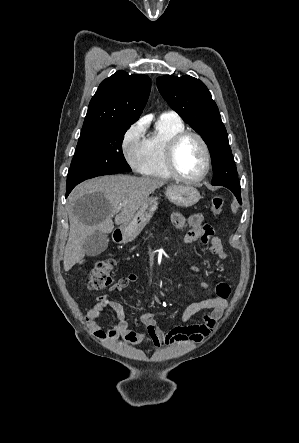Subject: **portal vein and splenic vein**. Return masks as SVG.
Returning <instances> with one entry per match:
<instances>
[{
    "instance_id": "portal-vein-and-splenic-vein-1",
    "label": "portal vein and splenic vein",
    "mask_w": 299,
    "mask_h": 443,
    "mask_svg": "<svg viewBox=\"0 0 299 443\" xmlns=\"http://www.w3.org/2000/svg\"><path fill=\"white\" fill-rule=\"evenodd\" d=\"M119 211V209H117L115 212H118Z\"/></svg>"
}]
</instances>
